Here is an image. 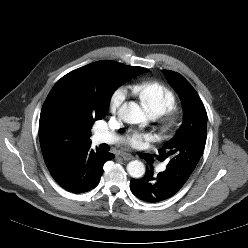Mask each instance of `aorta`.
Returning a JSON list of instances; mask_svg holds the SVG:
<instances>
[{
	"label": "aorta",
	"mask_w": 248,
	"mask_h": 248,
	"mask_svg": "<svg viewBox=\"0 0 248 248\" xmlns=\"http://www.w3.org/2000/svg\"><path fill=\"white\" fill-rule=\"evenodd\" d=\"M119 117L129 124H140L147 120L141 107L135 102L124 103L118 112ZM127 172L133 178H141L145 174V166L141 161L134 160L127 164Z\"/></svg>",
	"instance_id": "obj_1"
}]
</instances>
